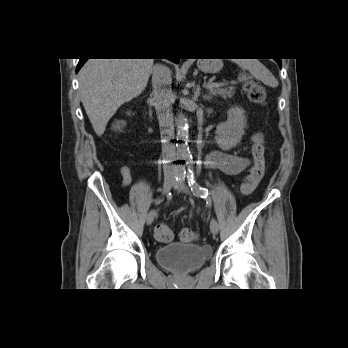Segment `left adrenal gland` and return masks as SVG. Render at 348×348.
I'll use <instances>...</instances> for the list:
<instances>
[{"label":"left adrenal gland","instance_id":"left-adrenal-gland-1","mask_svg":"<svg viewBox=\"0 0 348 348\" xmlns=\"http://www.w3.org/2000/svg\"><path fill=\"white\" fill-rule=\"evenodd\" d=\"M195 94H196V96H199V95H200V87H199V86L197 87ZM203 98H204L205 100H210V99H211V96H210V95H203Z\"/></svg>","mask_w":348,"mask_h":348}]
</instances>
